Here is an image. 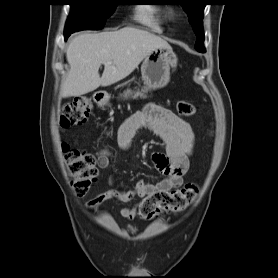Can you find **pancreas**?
Returning a JSON list of instances; mask_svg holds the SVG:
<instances>
[{"label": "pancreas", "instance_id": "pancreas-1", "mask_svg": "<svg viewBox=\"0 0 278 278\" xmlns=\"http://www.w3.org/2000/svg\"><path fill=\"white\" fill-rule=\"evenodd\" d=\"M145 92H146V90H145V89H142V92H137V93L134 95V97H138V96H140V97H146V96L144 95Z\"/></svg>", "mask_w": 278, "mask_h": 278}]
</instances>
